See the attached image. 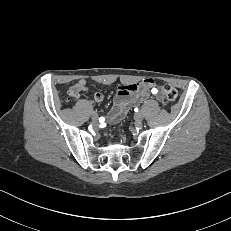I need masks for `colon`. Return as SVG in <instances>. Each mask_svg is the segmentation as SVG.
Instances as JSON below:
<instances>
[{"instance_id": "colon-1", "label": "colon", "mask_w": 231, "mask_h": 231, "mask_svg": "<svg viewBox=\"0 0 231 231\" xmlns=\"http://www.w3.org/2000/svg\"><path fill=\"white\" fill-rule=\"evenodd\" d=\"M163 93H164L165 97L170 101H174L178 97L177 90L170 85H165L163 87ZM68 97H69V99H76L78 97V93L70 90L68 92Z\"/></svg>"}]
</instances>
